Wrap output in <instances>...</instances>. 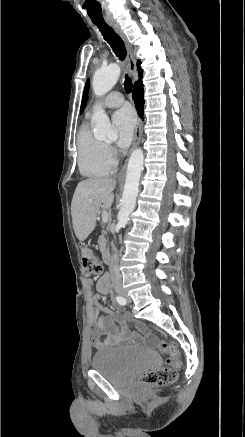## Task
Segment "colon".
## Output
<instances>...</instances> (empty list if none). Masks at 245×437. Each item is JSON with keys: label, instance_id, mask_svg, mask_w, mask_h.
I'll return each mask as SVG.
<instances>
[{"label": "colon", "instance_id": "5ec220e1", "mask_svg": "<svg viewBox=\"0 0 245 437\" xmlns=\"http://www.w3.org/2000/svg\"><path fill=\"white\" fill-rule=\"evenodd\" d=\"M82 269L85 276L102 273V262L91 249L82 251ZM159 350L168 354V366L145 373L141 377V383L146 386H164L173 383L177 379L178 370L182 364L178 349L173 344L163 341L159 344Z\"/></svg>", "mask_w": 245, "mask_h": 437}]
</instances>
